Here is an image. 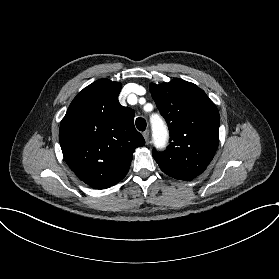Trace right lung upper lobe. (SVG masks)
<instances>
[{
    "label": "right lung upper lobe",
    "mask_w": 279,
    "mask_h": 279,
    "mask_svg": "<svg viewBox=\"0 0 279 279\" xmlns=\"http://www.w3.org/2000/svg\"><path fill=\"white\" fill-rule=\"evenodd\" d=\"M121 84L100 79L83 89L60 125L59 140L66 163L92 188L122 180L135 148L145 144L134 127V111L118 101Z\"/></svg>",
    "instance_id": "1"
}]
</instances>
